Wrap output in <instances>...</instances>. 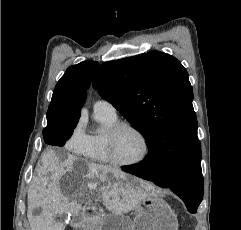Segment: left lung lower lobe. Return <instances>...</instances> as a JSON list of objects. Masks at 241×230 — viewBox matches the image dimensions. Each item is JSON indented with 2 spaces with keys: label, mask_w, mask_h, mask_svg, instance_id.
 Instances as JSON below:
<instances>
[{
  "label": "left lung lower lobe",
  "mask_w": 241,
  "mask_h": 230,
  "mask_svg": "<svg viewBox=\"0 0 241 230\" xmlns=\"http://www.w3.org/2000/svg\"><path fill=\"white\" fill-rule=\"evenodd\" d=\"M170 163L161 147L150 149L146 158L139 164L124 166L122 170L140 178L154 182L162 188H169L186 204L190 213H196L203 198V176L201 162L192 164L176 183H171Z\"/></svg>",
  "instance_id": "1"
}]
</instances>
